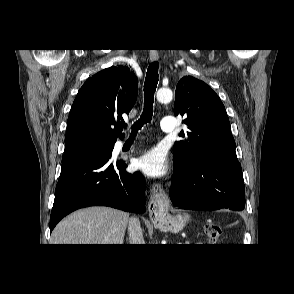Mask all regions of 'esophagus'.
Here are the masks:
<instances>
[{
	"instance_id": "esophagus-1",
	"label": "esophagus",
	"mask_w": 294,
	"mask_h": 294,
	"mask_svg": "<svg viewBox=\"0 0 294 294\" xmlns=\"http://www.w3.org/2000/svg\"><path fill=\"white\" fill-rule=\"evenodd\" d=\"M150 60L155 62L159 59L157 50H151L149 53ZM170 200L167 193L159 183H153L150 190V202L148 205L149 217L152 222H156L168 211Z\"/></svg>"
}]
</instances>
